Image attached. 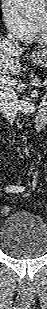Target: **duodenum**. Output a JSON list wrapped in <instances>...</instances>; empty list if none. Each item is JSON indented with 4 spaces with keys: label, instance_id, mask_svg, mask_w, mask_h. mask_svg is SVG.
<instances>
[{
    "label": "duodenum",
    "instance_id": "obj_1",
    "mask_svg": "<svg viewBox=\"0 0 47 309\" xmlns=\"http://www.w3.org/2000/svg\"><path fill=\"white\" fill-rule=\"evenodd\" d=\"M42 120V119H41ZM42 125V121H40V124H39V126H41Z\"/></svg>",
    "mask_w": 47,
    "mask_h": 309
}]
</instances>
